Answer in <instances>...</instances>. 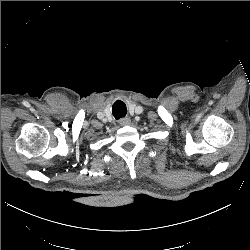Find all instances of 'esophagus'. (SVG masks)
Wrapping results in <instances>:
<instances>
[{
    "mask_svg": "<svg viewBox=\"0 0 250 250\" xmlns=\"http://www.w3.org/2000/svg\"><path fill=\"white\" fill-rule=\"evenodd\" d=\"M120 125H127L130 123V119L129 118H123L119 121Z\"/></svg>",
    "mask_w": 250,
    "mask_h": 250,
    "instance_id": "obj_1",
    "label": "esophagus"
}]
</instances>
